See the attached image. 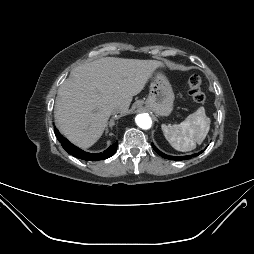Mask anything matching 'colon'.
Returning a JSON list of instances; mask_svg holds the SVG:
<instances>
[{
    "instance_id": "5ec220e1",
    "label": "colon",
    "mask_w": 254,
    "mask_h": 254,
    "mask_svg": "<svg viewBox=\"0 0 254 254\" xmlns=\"http://www.w3.org/2000/svg\"><path fill=\"white\" fill-rule=\"evenodd\" d=\"M188 91L196 103H203L205 101V94L202 91V80L198 75H193L188 80Z\"/></svg>"
}]
</instances>
